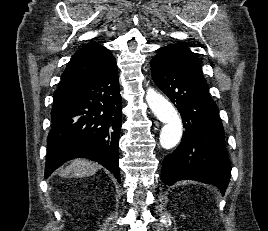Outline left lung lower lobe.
<instances>
[{
  "label": "left lung lower lobe",
  "instance_id": "1",
  "mask_svg": "<svg viewBox=\"0 0 268 231\" xmlns=\"http://www.w3.org/2000/svg\"><path fill=\"white\" fill-rule=\"evenodd\" d=\"M150 64L155 84L176 106L185 128L179 146L163 160L162 182L171 186L179 180H195L216 185L224 194L231 164L218 108L206 81L162 59L152 58Z\"/></svg>",
  "mask_w": 268,
  "mask_h": 231
}]
</instances>
